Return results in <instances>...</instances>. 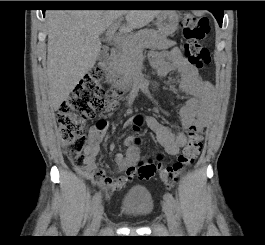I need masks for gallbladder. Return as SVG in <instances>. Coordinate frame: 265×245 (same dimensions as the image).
Wrapping results in <instances>:
<instances>
[{
  "instance_id": "gallbladder-1",
  "label": "gallbladder",
  "mask_w": 265,
  "mask_h": 245,
  "mask_svg": "<svg viewBox=\"0 0 265 245\" xmlns=\"http://www.w3.org/2000/svg\"><path fill=\"white\" fill-rule=\"evenodd\" d=\"M106 56H107V52H105V51H100V53L98 55L99 58H105Z\"/></svg>"
}]
</instances>
